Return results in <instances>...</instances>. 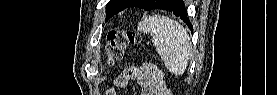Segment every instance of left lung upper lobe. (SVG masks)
<instances>
[{"label": "left lung upper lobe", "instance_id": "5c2ea615", "mask_svg": "<svg viewBox=\"0 0 277 95\" xmlns=\"http://www.w3.org/2000/svg\"><path fill=\"white\" fill-rule=\"evenodd\" d=\"M134 0H110L107 4V10H106V21L115 15L116 13L124 10L127 8ZM164 0H151V4L149 6V9L156 8L160 6ZM181 1L176 0L175 4L178 5Z\"/></svg>", "mask_w": 277, "mask_h": 95}]
</instances>
